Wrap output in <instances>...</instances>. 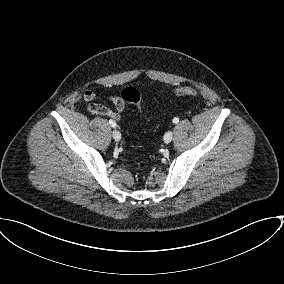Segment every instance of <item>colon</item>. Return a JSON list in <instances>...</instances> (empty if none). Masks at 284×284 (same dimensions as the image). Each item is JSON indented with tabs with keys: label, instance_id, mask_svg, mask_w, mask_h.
Masks as SVG:
<instances>
[{
	"label": "colon",
	"instance_id": "colon-1",
	"mask_svg": "<svg viewBox=\"0 0 284 284\" xmlns=\"http://www.w3.org/2000/svg\"><path fill=\"white\" fill-rule=\"evenodd\" d=\"M174 94L180 96H197L198 93L195 89L191 87H183L176 89L174 91ZM120 96L125 102L136 104L140 107V93L138 92L137 89L133 87L125 88L121 92Z\"/></svg>",
	"mask_w": 284,
	"mask_h": 284
}]
</instances>
